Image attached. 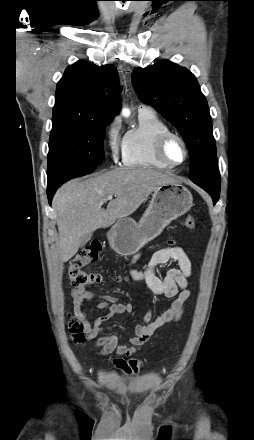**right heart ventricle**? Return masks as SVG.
I'll use <instances>...</instances> for the list:
<instances>
[{"mask_svg":"<svg viewBox=\"0 0 254 440\" xmlns=\"http://www.w3.org/2000/svg\"><path fill=\"white\" fill-rule=\"evenodd\" d=\"M139 124L124 136L122 162L125 167L169 170L154 154L157 137L170 130L168 125L152 110L139 111Z\"/></svg>","mask_w":254,"mask_h":440,"instance_id":"e07e8e85","label":"right heart ventricle"}]
</instances>
